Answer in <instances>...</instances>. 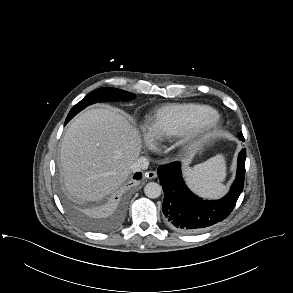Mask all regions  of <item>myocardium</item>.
<instances>
[{
	"mask_svg": "<svg viewBox=\"0 0 293 293\" xmlns=\"http://www.w3.org/2000/svg\"><path fill=\"white\" fill-rule=\"evenodd\" d=\"M221 122L220 114L211 111L199 117L184 133L181 141L184 145H195L208 140L218 130Z\"/></svg>",
	"mask_w": 293,
	"mask_h": 293,
	"instance_id": "myocardium-1",
	"label": "myocardium"
}]
</instances>
